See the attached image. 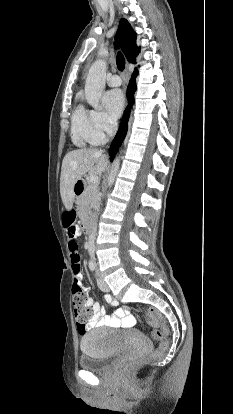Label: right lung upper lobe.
I'll return each mask as SVG.
<instances>
[{
  "instance_id": "cb5924a9",
  "label": "right lung upper lobe",
  "mask_w": 233,
  "mask_h": 414,
  "mask_svg": "<svg viewBox=\"0 0 233 414\" xmlns=\"http://www.w3.org/2000/svg\"><path fill=\"white\" fill-rule=\"evenodd\" d=\"M115 40L122 48L127 60L135 63L134 57L140 52V47L136 45V33L124 18L120 20Z\"/></svg>"
}]
</instances>
